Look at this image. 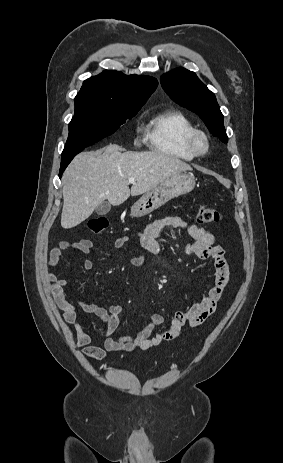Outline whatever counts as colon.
<instances>
[{"label": "colon", "mask_w": 283, "mask_h": 463, "mask_svg": "<svg viewBox=\"0 0 283 463\" xmlns=\"http://www.w3.org/2000/svg\"><path fill=\"white\" fill-rule=\"evenodd\" d=\"M196 218L199 223L213 224L218 223L221 220L222 216L220 211H218L217 209L206 206H200L197 210ZM86 226L90 232L99 234L107 228L108 221L105 217H94L90 218L87 221Z\"/></svg>", "instance_id": "1"}]
</instances>
